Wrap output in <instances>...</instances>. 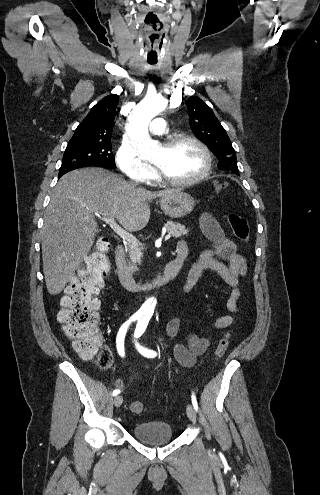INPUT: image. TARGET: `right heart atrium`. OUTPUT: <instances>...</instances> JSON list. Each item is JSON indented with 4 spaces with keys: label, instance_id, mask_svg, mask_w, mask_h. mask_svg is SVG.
Masks as SVG:
<instances>
[{
    "label": "right heart atrium",
    "instance_id": "1",
    "mask_svg": "<svg viewBox=\"0 0 320 495\" xmlns=\"http://www.w3.org/2000/svg\"><path fill=\"white\" fill-rule=\"evenodd\" d=\"M116 162L122 173L133 180L150 182L155 179L153 169L137 156L134 147L128 141L120 144Z\"/></svg>",
    "mask_w": 320,
    "mask_h": 495
}]
</instances>
